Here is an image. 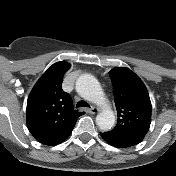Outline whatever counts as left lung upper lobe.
<instances>
[{"instance_id": "obj_1", "label": "left lung upper lobe", "mask_w": 176, "mask_h": 176, "mask_svg": "<svg viewBox=\"0 0 176 176\" xmlns=\"http://www.w3.org/2000/svg\"><path fill=\"white\" fill-rule=\"evenodd\" d=\"M109 75L113 84L118 122L108 133L136 145L142 141L151 123L148 91L137 75L127 68H115Z\"/></svg>"}]
</instances>
